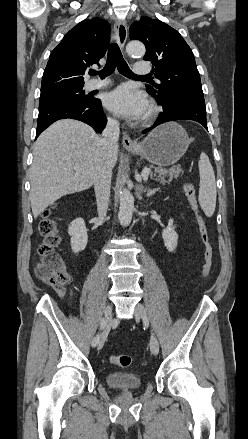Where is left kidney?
Wrapping results in <instances>:
<instances>
[{"label":"left kidney","instance_id":"obj_1","mask_svg":"<svg viewBox=\"0 0 248 439\" xmlns=\"http://www.w3.org/2000/svg\"><path fill=\"white\" fill-rule=\"evenodd\" d=\"M173 223V219H170L167 228H165L162 232L164 245L169 252H174L178 241V234L175 232V225Z\"/></svg>","mask_w":248,"mask_h":439}]
</instances>
